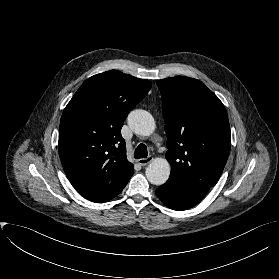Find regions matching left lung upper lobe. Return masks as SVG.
<instances>
[{"mask_svg": "<svg viewBox=\"0 0 279 279\" xmlns=\"http://www.w3.org/2000/svg\"><path fill=\"white\" fill-rule=\"evenodd\" d=\"M170 178L208 192L227 162L231 136L226 109L201 81L177 76L159 80Z\"/></svg>", "mask_w": 279, "mask_h": 279, "instance_id": "1", "label": "left lung upper lobe"}]
</instances>
